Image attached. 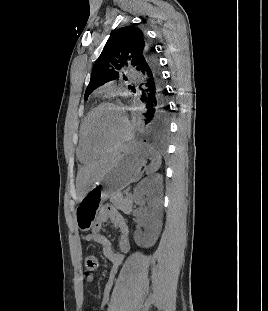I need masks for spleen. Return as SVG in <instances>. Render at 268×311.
Here are the masks:
<instances>
[{
    "label": "spleen",
    "instance_id": "3e777b00",
    "mask_svg": "<svg viewBox=\"0 0 268 311\" xmlns=\"http://www.w3.org/2000/svg\"><path fill=\"white\" fill-rule=\"evenodd\" d=\"M148 158H150L151 164L149 168H147L146 173L151 175L159 169L161 165V155L153 148L148 147Z\"/></svg>",
    "mask_w": 268,
    "mask_h": 311
}]
</instances>
